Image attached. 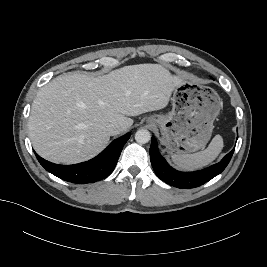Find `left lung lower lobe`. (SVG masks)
<instances>
[{
    "instance_id": "0a47b994",
    "label": "left lung lower lobe",
    "mask_w": 267,
    "mask_h": 267,
    "mask_svg": "<svg viewBox=\"0 0 267 267\" xmlns=\"http://www.w3.org/2000/svg\"><path fill=\"white\" fill-rule=\"evenodd\" d=\"M234 149L230 151L219 163L206 169L195 172H179L173 169L158 151L157 141L152 137L150 146V160L156 175L167 184L187 189L194 188L208 182L220 174L228 165Z\"/></svg>"
}]
</instances>
